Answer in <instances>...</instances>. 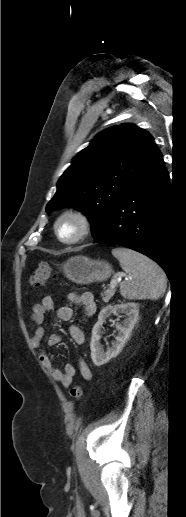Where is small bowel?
Returning <instances> with one entry per match:
<instances>
[{
	"mask_svg": "<svg viewBox=\"0 0 186 517\" xmlns=\"http://www.w3.org/2000/svg\"><path fill=\"white\" fill-rule=\"evenodd\" d=\"M65 301L67 304L61 306L57 310V318L62 322H67L72 319V305H79L82 308V312L85 317L92 316L96 311L94 296L90 292H84L82 294L69 292L65 295ZM54 306L55 304L53 298L51 296H45L40 303H37L32 307L30 321L35 324V329L32 336V344L35 348H40L41 346L45 334V330L42 324L44 322L46 313L52 311ZM69 334L76 345L83 344L85 339L84 333L77 325H72L69 327ZM47 343L49 346H56L61 343V336L59 334L52 333L48 336ZM39 360L57 383H59L64 388H68L71 385L72 380L76 374V368L72 364L67 363L62 369L55 367L52 363L50 355L44 349L40 351ZM79 370L81 376L85 380H91L92 372L86 362L82 359L79 360Z\"/></svg>",
	"mask_w": 186,
	"mask_h": 517,
	"instance_id": "1",
	"label": "small bowel"
}]
</instances>
